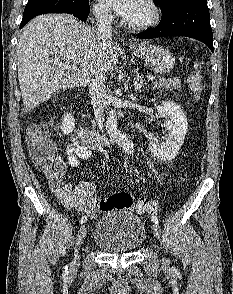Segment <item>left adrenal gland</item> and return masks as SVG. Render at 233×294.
<instances>
[{
  "instance_id": "obj_1",
  "label": "left adrenal gland",
  "mask_w": 233,
  "mask_h": 294,
  "mask_svg": "<svg viewBox=\"0 0 233 294\" xmlns=\"http://www.w3.org/2000/svg\"><path fill=\"white\" fill-rule=\"evenodd\" d=\"M143 85H145V83H144V80L142 78V75L141 76H136L134 78V90H135V92L139 91ZM131 97L133 98V94H131Z\"/></svg>"
}]
</instances>
